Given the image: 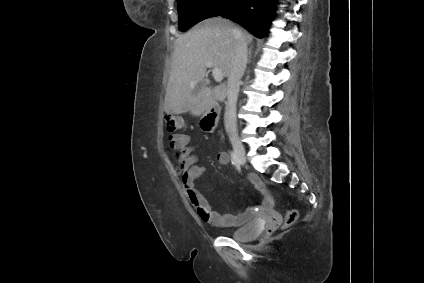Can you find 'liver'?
Masks as SVG:
<instances>
[{"instance_id":"obj_1","label":"liver","mask_w":424,"mask_h":283,"mask_svg":"<svg viewBox=\"0 0 424 283\" xmlns=\"http://www.w3.org/2000/svg\"><path fill=\"white\" fill-rule=\"evenodd\" d=\"M236 28L221 17L208 18L177 38L164 101L167 114L190 112L194 116H201L208 111L214 101L215 89L205 85L196 95L192 91L204 78L209 61L225 77L229 76L238 43L234 33ZM239 30L246 43L251 44L253 37Z\"/></svg>"}]
</instances>
